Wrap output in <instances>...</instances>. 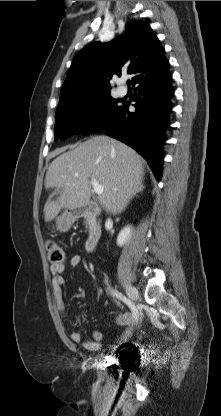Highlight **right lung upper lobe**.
Returning <instances> with one entry per match:
<instances>
[{
    "mask_svg": "<svg viewBox=\"0 0 221 416\" xmlns=\"http://www.w3.org/2000/svg\"><path fill=\"white\" fill-rule=\"evenodd\" d=\"M164 53L151 27L132 20L126 25L124 37L105 45L94 42L79 52L62 86L59 104L110 92L109 79L122 71L134 75L132 85L161 73L169 65Z\"/></svg>",
    "mask_w": 221,
    "mask_h": 416,
    "instance_id": "1",
    "label": "right lung upper lobe"
}]
</instances>
